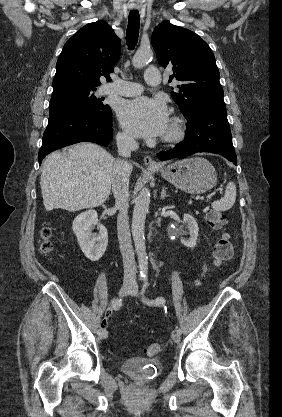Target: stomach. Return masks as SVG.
I'll list each match as a JSON object with an SVG mask.
<instances>
[{"label":"stomach","instance_id":"0dacf381","mask_svg":"<svg viewBox=\"0 0 282 417\" xmlns=\"http://www.w3.org/2000/svg\"><path fill=\"white\" fill-rule=\"evenodd\" d=\"M162 176L185 192L190 194H201L213 188L217 182L216 170L206 158L193 156L176 160L167 166L158 168Z\"/></svg>","mask_w":282,"mask_h":417}]
</instances>
